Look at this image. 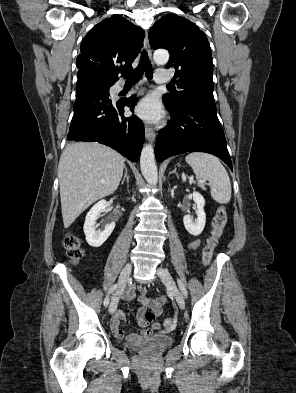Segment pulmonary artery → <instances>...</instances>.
Wrapping results in <instances>:
<instances>
[{
  "label": "pulmonary artery",
  "instance_id": "obj_1",
  "mask_svg": "<svg viewBox=\"0 0 296 393\" xmlns=\"http://www.w3.org/2000/svg\"><path fill=\"white\" fill-rule=\"evenodd\" d=\"M170 80V76L165 70H157L155 74V82L157 83H167ZM122 87L118 86L117 91H121Z\"/></svg>",
  "mask_w": 296,
  "mask_h": 393
}]
</instances>
